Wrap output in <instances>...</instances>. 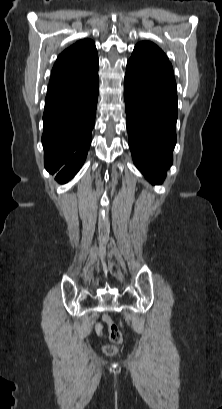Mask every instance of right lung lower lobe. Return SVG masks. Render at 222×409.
I'll return each instance as SVG.
<instances>
[{
    "label": "right lung lower lobe",
    "instance_id": "obj_1",
    "mask_svg": "<svg viewBox=\"0 0 222 409\" xmlns=\"http://www.w3.org/2000/svg\"><path fill=\"white\" fill-rule=\"evenodd\" d=\"M85 86L62 96H46L43 114L45 168L58 172L60 183L69 181L81 168L91 144L98 99V70L82 77Z\"/></svg>",
    "mask_w": 222,
    "mask_h": 409
}]
</instances>
